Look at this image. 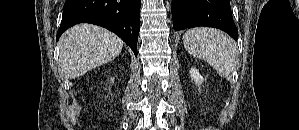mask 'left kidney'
Here are the masks:
<instances>
[{"label":"left kidney","mask_w":299,"mask_h":130,"mask_svg":"<svg viewBox=\"0 0 299 130\" xmlns=\"http://www.w3.org/2000/svg\"><path fill=\"white\" fill-rule=\"evenodd\" d=\"M191 79L198 85L203 82V77L199 74L198 70L195 68H191L190 70Z\"/></svg>","instance_id":"1"}]
</instances>
